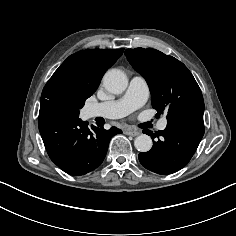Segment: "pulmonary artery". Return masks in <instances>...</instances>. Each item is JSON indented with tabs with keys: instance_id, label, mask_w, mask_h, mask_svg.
Returning a JSON list of instances; mask_svg holds the SVG:
<instances>
[{
	"instance_id": "1",
	"label": "pulmonary artery",
	"mask_w": 236,
	"mask_h": 236,
	"mask_svg": "<svg viewBox=\"0 0 236 236\" xmlns=\"http://www.w3.org/2000/svg\"><path fill=\"white\" fill-rule=\"evenodd\" d=\"M149 89L144 77L135 75L131 78L125 94L117 100L93 103L87 106L90 118L101 116L110 119L122 118L137 110L147 101ZM167 120L164 118L158 124L159 130H164Z\"/></svg>"
}]
</instances>
